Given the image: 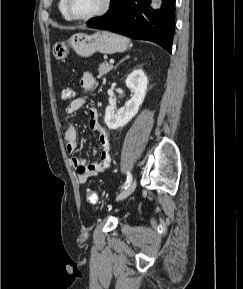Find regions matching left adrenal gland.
Masks as SVG:
<instances>
[{"label":"left adrenal gland","mask_w":243,"mask_h":289,"mask_svg":"<svg viewBox=\"0 0 243 289\" xmlns=\"http://www.w3.org/2000/svg\"><path fill=\"white\" fill-rule=\"evenodd\" d=\"M130 56L129 55H126L125 58H123L117 65H119L120 63H122L124 60L128 59ZM117 67V66H116Z\"/></svg>","instance_id":"a2214340"}]
</instances>
